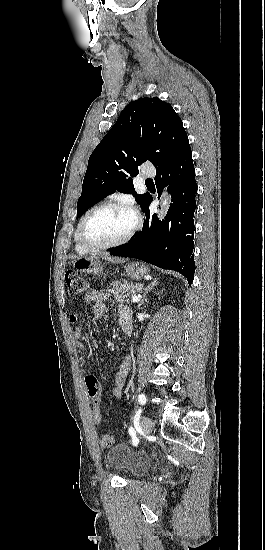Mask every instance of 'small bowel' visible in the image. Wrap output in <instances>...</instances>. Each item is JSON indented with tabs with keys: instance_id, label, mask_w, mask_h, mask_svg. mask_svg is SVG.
I'll list each match as a JSON object with an SVG mask.
<instances>
[{
	"instance_id": "obj_1",
	"label": "small bowel",
	"mask_w": 265,
	"mask_h": 550,
	"mask_svg": "<svg viewBox=\"0 0 265 550\" xmlns=\"http://www.w3.org/2000/svg\"><path fill=\"white\" fill-rule=\"evenodd\" d=\"M85 303H93V316L95 319L102 318L107 310V293L103 290H91L83 298ZM118 311V322L127 335H131L133 331V319H132V310L125 304H120L117 308ZM82 323H80L75 331L74 338L76 340L77 348L85 355L86 358L91 359L93 357V351L89 349L82 341ZM131 360L129 357H124L118 367V370L115 374L114 384L112 387V395L116 398H120L123 394V386L130 370ZM102 418V417H101ZM99 423V421L94 420Z\"/></svg>"
}]
</instances>
